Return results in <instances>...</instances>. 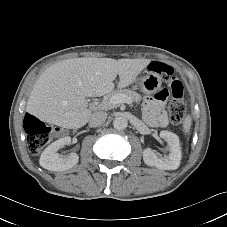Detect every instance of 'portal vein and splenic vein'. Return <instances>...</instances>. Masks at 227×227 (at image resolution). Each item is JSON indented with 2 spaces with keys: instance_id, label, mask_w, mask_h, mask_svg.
Masks as SVG:
<instances>
[{
  "instance_id": "obj_1",
  "label": "portal vein and splenic vein",
  "mask_w": 227,
  "mask_h": 227,
  "mask_svg": "<svg viewBox=\"0 0 227 227\" xmlns=\"http://www.w3.org/2000/svg\"><path fill=\"white\" fill-rule=\"evenodd\" d=\"M123 103L132 104V100H131V98L126 97L125 95H122V94L114 95L110 99V104H112V105H118V104H123Z\"/></svg>"
}]
</instances>
